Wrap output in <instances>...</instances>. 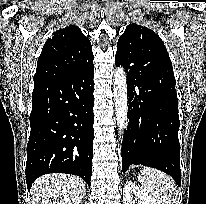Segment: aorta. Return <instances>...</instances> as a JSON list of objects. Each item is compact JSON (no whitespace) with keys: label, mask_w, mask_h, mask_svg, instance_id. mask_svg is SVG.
Segmentation results:
<instances>
[{"label":"aorta","mask_w":206,"mask_h":204,"mask_svg":"<svg viewBox=\"0 0 206 204\" xmlns=\"http://www.w3.org/2000/svg\"><path fill=\"white\" fill-rule=\"evenodd\" d=\"M126 73L123 67H117L114 73V104L119 140L122 142L127 127L128 97Z\"/></svg>","instance_id":"762f6f07"}]
</instances>
